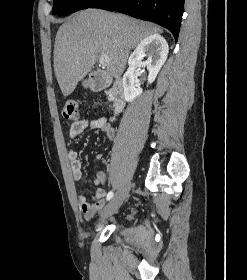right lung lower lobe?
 Listing matches in <instances>:
<instances>
[{
  "label": "right lung lower lobe",
  "instance_id": "98d812e1",
  "mask_svg": "<svg viewBox=\"0 0 247 280\" xmlns=\"http://www.w3.org/2000/svg\"><path fill=\"white\" fill-rule=\"evenodd\" d=\"M91 8H104L161 24L177 41L184 0H98Z\"/></svg>",
  "mask_w": 247,
  "mask_h": 280
}]
</instances>
